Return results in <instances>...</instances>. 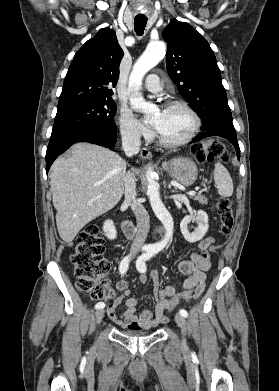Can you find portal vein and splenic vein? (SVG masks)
<instances>
[{"mask_svg": "<svg viewBox=\"0 0 279 391\" xmlns=\"http://www.w3.org/2000/svg\"><path fill=\"white\" fill-rule=\"evenodd\" d=\"M187 194L193 196V195L196 194V192L195 191H189Z\"/></svg>", "mask_w": 279, "mask_h": 391, "instance_id": "obj_1", "label": "portal vein and splenic vein"}]
</instances>
